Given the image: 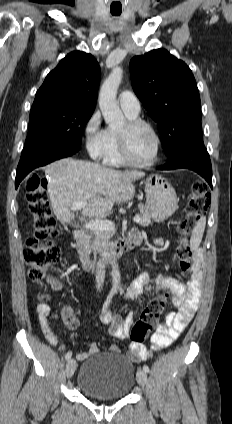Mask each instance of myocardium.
Wrapping results in <instances>:
<instances>
[{
	"mask_svg": "<svg viewBox=\"0 0 232 424\" xmlns=\"http://www.w3.org/2000/svg\"><path fill=\"white\" fill-rule=\"evenodd\" d=\"M146 128L148 129L154 136L155 138V142H156V146H155V151L153 156L147 160V161H135L131 158L130 154H129V150H128V135L131 131L137 129V128ZM117 140H118V145H119V152H120V156L123 160V162L129 166H133V167H148L153 165L159 155H160V151H161V146H162V141H161V137L158 133V131L155 129V127L153 125H151L149 122L141 120V119H129L126 122V128L123 131H118L117 132Z\"/></svg>",
	"mask_w": 232,
	"mask_h": 424,
	"instance_id": "f54148a6",
	"label": "myocardium"
}]
</instances>
